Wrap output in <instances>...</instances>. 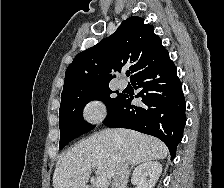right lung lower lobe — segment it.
<instances>
[{"label": "right lung lower lobe", "instance_id": "1", "mask_svg": "<svg viewBox=\"0 0 224 188\" xmlns=\"http://www.w3.org/2000/svg\"><path fill=\"white\" fill-rule=\"evenodd\" d=\"M140 89L135 97L141 106L131 105L132 95L124 94L120 103L103 121L108 127L128 128L158 137L170 150L171 159L183 137L186 102L177 70L167 53L158 63L131 79ZM137 85V86H136Z\"/></svg>", "mask_w": 224, "mask_h": 188}]
</instances>
